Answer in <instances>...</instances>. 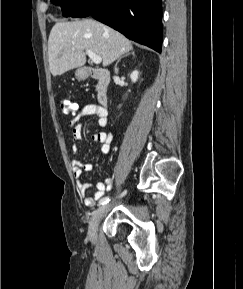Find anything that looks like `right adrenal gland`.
<instances>
[{"label":"right adrenal gland","instance_id":"right-adrenal-gland-1","mask_svg":"<svg viewBox=\"0 0 243 289\" xmlns=\"http://www.w3.org/2000/svg\"><path fill=\"white\" fill-rule=\"evenodd\" d=\"M132 55V56H135V52L134 51H132L131 53H127V54H125V55H123V56H121L118 60H117V62H116V64H115V67H114V70H115V72L116 73H118V71H119V69H118V63L121 61V59L122 58H124V57H126V56H128V55Z\"/></svg>","mask_w":243,"mask_h":289}]
</instances>
